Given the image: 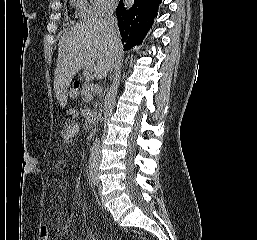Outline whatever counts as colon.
I'll return each mask as SVG.
<instances>
[{
	"instance_id": "colon-1",
	"label": "colon",
	"mask_w": 257,
	"mask_h": 240,
	"mask_svg": "<svg viewBox=\"0 0 257 240\" xmlns=\"http://www.w3.org/2000/svg\"><path fill=\"white\" fill-rule=\"evenodd\" d=\"M78 87H79V83L77 81L74 82L69 92V95L71 98L75 99L78 96ZM40 238L41 240H50V232L46 225H43L40 228Z\"/></svg>"
}]
</instances>
